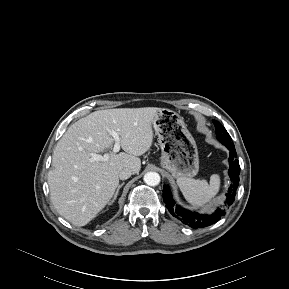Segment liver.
<instances>
[{
	"instance_id": "liver-1",
	"label": "liver",
	"mask_w": 289,
	"mask_h": 289,
	"mask_svg": "<svg viewBox=\"0 0 289 289\" xmlns=\"http://www.w3.org/2000/svg\"><path fill=\"white\" fill-rule=\"evenodd\" d=\"M159 108L95 111L72 124L58 141L48 173L50 198L57 212L75 226H85L106 206L118 187V173L141 169L153 143L152 122ZM116 131L125 152H108V160L91 161L92 153L111 149Z\"/></svg>"
}]
</instances>
